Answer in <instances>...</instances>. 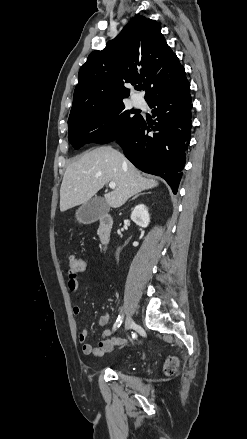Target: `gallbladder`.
Here are the masks:
<instances>
[{"instance_id": "obj_1", "label": "gallbladder", "mask_w": 247, "mask_h": 439, "mask_svg": "<svg viewBox=\"0 0 247 439\" xmlns=\"http://www.w3.org/2000/svg\"><path fill=\"white\" fill-rule=\"evenodd\" d=\"M109 211V206L103 198L95 196L82 204L76 211L77 220L84 224L97 221Z\"/></svg>"}]
</instances>
